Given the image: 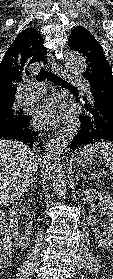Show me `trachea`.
Segmentation results:
<instances>
[{
	"mask_svg": "<svg viewBox=\"0 0 113 279\" xmlns=\"http://www.w3.org/2000/svg\"><path fill=\"white\" fill-rule=\"evenodd\" d=\"M46 78L48 80H50L52 83H54V84H56L58 86L69 88V89H76L74 86L69 85L67 82L62 80L60 77H58L57 75H55L51 71H46L44 69V67H42L40 69L38 75L36 76V80L37 81H42V80H44Z\"/></svg>",
	"mask_w": 113,
	"mask_h": 279,
	"instance_id": "1",
	"label": "trachea"
}]
</instances>
